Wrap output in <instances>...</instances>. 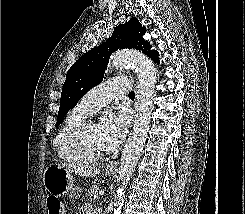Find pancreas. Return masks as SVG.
Here are the masks:
<instances>
[{"label": "pancreas", "instance_id": "cf45deb5", "mask_svg": "<svg viewBox=\"0 0 245 214\" xmlns=\"http://www.w3.org/2000/svg\"><path fill=\"white\" fill-rule=\"evenodd\" d=\"M97 192H98V186L95 184L91 185V187H89L87 190V194H86L87 199L88 200L96 199L98 197Z\"/></svg>", "mask_w": 245, "mask_h": 214}]
</instances>
